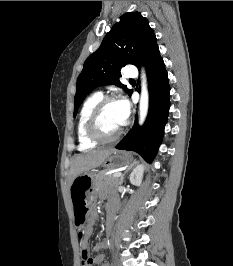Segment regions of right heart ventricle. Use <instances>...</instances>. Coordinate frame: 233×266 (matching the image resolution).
<instances>
[{"label": "right heart ventricle", "mask_w": 233, "mask_h": 266, "mask_svg": "<svg viewBox=\"0 0 233 266\" xmlns=\"http://www.w3.org/2000/svg\"><path fill=\"white\" fill-rule=\"evenodd\" d=\"M103 97L102 92H95L91 94L83 103L77 122V137L79 147L81 150H88L94 148L97 142L92 141L86 134V124L93 107Z\"/></svg>", "instance_id": "obj_1"}]
</instances>
